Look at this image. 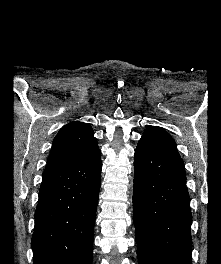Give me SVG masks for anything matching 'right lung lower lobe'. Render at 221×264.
I'll return each mask as SVG.
<instances>
[{
    "instance_id": "98d812e1",
    "label": "right lung lower lobe",
    "mask_w": 221,
    "mask_h": 264,
    "mask_svg": "<svg viewBox=\"0 0 221 264\" xmlns=\"http://www.w3.org/2000/svg\"><path fill=\"white\" fill-rule=\"evenodd\" d=\"M101 152L46 167L31 240L33 264H91Z\"/></svg>"
}]
</instances>
